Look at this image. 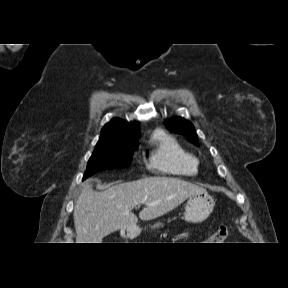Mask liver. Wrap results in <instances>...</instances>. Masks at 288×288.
<instances>
[{
  "mask_svg": "<svg viewBox=\"0 0 288 288\" xmlns=\"http://www.w3.org/2000/svg\"><path fill=\"white\" fill-rule=\"evenodd\" d=\"M205 189L174 177H149L119 183L102 192L90 183L82 187L74 207L77 243H101L117 230L137 228L133 208L143 204L139 218L148 221L160 217Z\"/></svg>",
  "mask_w": 288,
  "mask_h": 288,
  "instance_id": "liver-1",
  "label": "liver"
}]
</instances>
